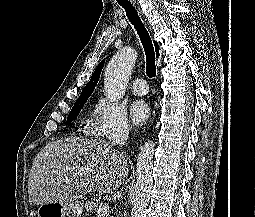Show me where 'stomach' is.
<instances>
[{
  "instance_id": "1",
  "label": "stomach",
  "mask_w": 255,
  "mask_h": 217,
  "mask_svg": "<svg viewBox=\"0 0 255 217\" xmlns=\"http://www.w3.org/2000/svg\"><path fill=\"white\" fill-rule=\"evenodd\" d=\"M83 204L80 200L49 202L39 206L37 217H80Z\"/></svg>"
}]
</instances>
